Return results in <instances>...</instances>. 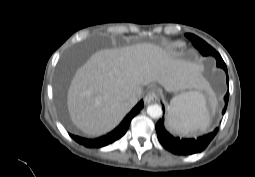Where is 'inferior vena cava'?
<instances>
[{
  "mask_svg": "<svg viewBox=\"0 0 255 177\" xmlns=\"http://www.w3.org/2000/svg\"><path fill=\"white\" fill-rule=\"evenodd\" d=\"M139 97L136 94H133L129 97V103L135 105L138 102Z\"/></svg>",
  "mask_w": 255,
  "mask_h": 177,
  "instance_id": "inferior-vena-cava-1",
  "label": "inferior vena cava"
}]
</instances>
